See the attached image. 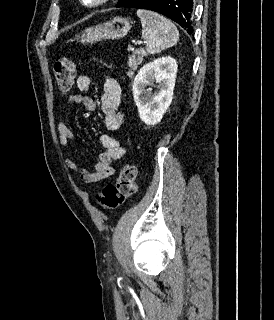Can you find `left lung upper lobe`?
Returning a JSON list of instances; mask_svg holds the SVG:
<instances>
[{
    "label": "left lung upper lobe",
    "instance_id": "obj_1",
    "mask_svg": "<svg viewBox=\"0 0 274 320\" xmlns=\"http://www.w3.org/2000/svg\"><path fill=\"white\" fill-rule=\"evenodd\" d=\"M128 0H120L116 7H121L123 4H125Z\"/></svg>",
    "mask_w": 274,
    "mask_h": 320
}]
</instances>
